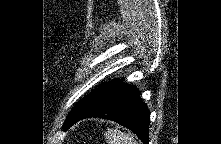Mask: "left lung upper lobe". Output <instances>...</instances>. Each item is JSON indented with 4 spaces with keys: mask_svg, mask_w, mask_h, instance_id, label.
<instances>
[{
    "mask_svg": "<svg viewBox=\"0 0 221 144\" xmlns=\"http://www.w3.org/2000/svg\"><path fill=\"white\" fill-rule=\"evenodd\" d=\"M116 80H112L108 83L102 84L100 87H98V89H96L91 94L87 95L82 100H80L70 112L63 128L67 127L71 121H73L80 115L86 113L93 106H95L103 98V96L111 88V86L115 83Z\"/></svg>",
    "mask_w": 221,
    "mask_h": 144,
    "instance_id": "1",
    "label": "left lung upper lobe"
}]
</instances>
